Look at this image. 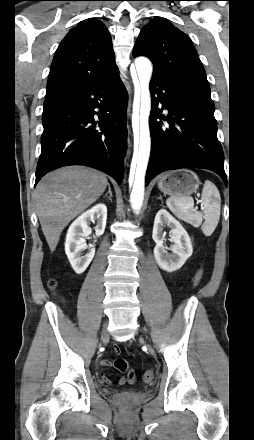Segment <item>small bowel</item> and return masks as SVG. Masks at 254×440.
<instances>
[{
    "mask_svg": "<svg viewBox=\"0 0 254 440\" xmlns=\"http://www.w3.org/2000/svg\"><path fill=\"white\" fill-rule=\"evenodd\" d=\"M113 349H114V351H118L119 350L118 346H114ZM110 365H111V361L110 360H108V359L101 360V366L103 368L109 367ZM101 378H102V380L105 383H110L111 382L110 378H108L104 373H101Z\"/></svg>",
    "mask_w": 254,
    "mask_h": 440,
    "instance_id": "c3829d8e",
    "label": "small bowel"
}]
</instances>
